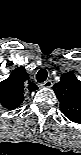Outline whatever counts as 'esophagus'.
Segmentation results:
<instances>
[{"mask_svg": "<svg viewBox=\"0 0 81 155\" xmlns=\"http://www.w3.org/2000/svg\"><path fill=\"white\" fill-rule=\"evenodd\" d=\"M52 81L51 80H46L45 82H43L40 86L42 88H51L52 87Z\"/></svg>", "mask_w": 81, "mask_h": 155, "instance_id": "34e87169", "label": "esophagus"}]
</instances>
